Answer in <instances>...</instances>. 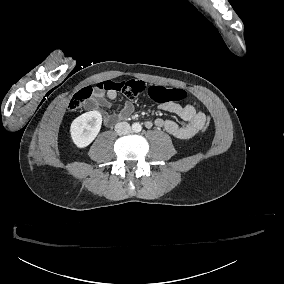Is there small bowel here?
I'll use <instances>...</instances> for the list:
<instances>
[{
  "instance_id": "c3829d8e",
  "label": "small bowel",
  "mask_w": 284,
  "mask_h": 284,
  "mask_svg": "<svg viewBox=\"0 0 284 284\" xmlns=\"http://www.w3.org/2000/svg\"><path fill=\"white\" fill-rule=\"evenodd\" d=\"M117 97L115 92H107V98L114 100ZM92 108L104 109L109 108L110 103L102 94H96L90 103ZM159 108L163 111L173 113L181 118L185 123L178 124L172 120L154 119L148 121L146 126L148 128H164L165 131L176 139L187 140L195 136L204 126L205 115L203 112L198 111L193 105L181 106L175 103H163ZM134 111V104L131 100H127L120 112L117 114L119 118H127ZM104 118L109 120L111 114L104 112Z\"/></svg>"
}]
</instances>
